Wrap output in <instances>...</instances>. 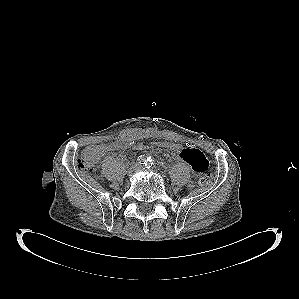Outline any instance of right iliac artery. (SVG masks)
I'll list each match as a JSON object with an SVG mask.
<instances>
[{
	"label": "right iliac artery",
	"mask_w": 299,
	"mask_h": 299,
	"mask_svg": "<svg viewBox=\"0 0 299 299\" xmlns=\"http://www.w3.org/2000/svg\"><path fill=\"white\" fill-rule=\"evenodd\" d=\"M147 161H148V159L144 156H140L138 158V163L141 164V165H146Z\"/></svg>",
	"instance_id": "1"
}]
</instances>
